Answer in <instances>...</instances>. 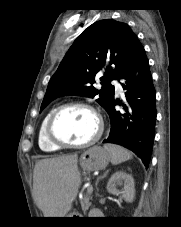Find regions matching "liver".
<instances>
[{"label": "liver", "mask_w": 181, "mask_h": 227, "mask_svg": "<svg viewBox=\"0 0 181 227\" xmlns=\"http://www.w3.org/2000/svg\"><path fill=\"white\" fill-rule=\"evenodd\" d=\"M78 155L42 159L35 164L33 189L45 217H65L81 185Z\"/></svg>", "instance_id": "obj_1"}]
</instances>
